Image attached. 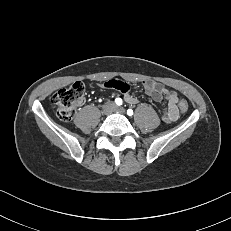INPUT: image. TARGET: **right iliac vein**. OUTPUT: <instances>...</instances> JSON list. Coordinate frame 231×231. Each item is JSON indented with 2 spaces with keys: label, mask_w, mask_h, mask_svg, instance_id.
Instances as JSON below:
<instances>
[{
  "label": "right iliac vein",
  "mask_w": 231,
  "mask_h": 231,
  "mask_svg": "<svg viewBox=\"0 0 231 231\" xmlns=\"http://www.w3.org/2000/svg\"><path fill=\"white\" fill-rule=\"evenodd\" d=\"M114 107L115 106L113 102H110V101L106 102L104 106L102 107V114L109 115L113 111Z\"/></svg>",
  "instance_id": "obj_1"
}]
</instances>
